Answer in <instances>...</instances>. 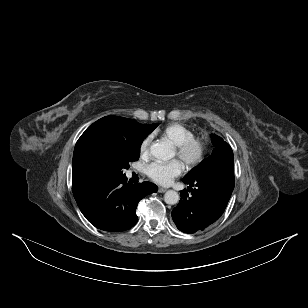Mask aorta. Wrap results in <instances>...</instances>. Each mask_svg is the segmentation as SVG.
Returning a JSON list of instances; mask_svg holds the SVG:
<instances>
[{"instance_id": "aorta-1", "label": "aorta", "mask_w": 308, "mask_h": 308, "mask_svg": "<svg viewBox=\"0 0 308 308\" xmlns=\"http://www.w3.org/2000/svg\"><path fill=\"white\" fill-rule=\"evenodd\" d=\"M151 154L160 160H169L174 156L172 147L164 142H159L151 146ZM164 201L169 205H174L179 201V194L174 190H168L164 194Z\"/></svg>"}]
</instances>
